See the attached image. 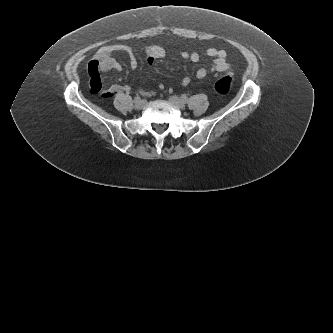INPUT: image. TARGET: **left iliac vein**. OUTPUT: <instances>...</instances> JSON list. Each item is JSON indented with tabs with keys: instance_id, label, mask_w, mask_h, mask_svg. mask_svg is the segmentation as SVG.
<instances>
[{
	"instance_id": "left-iliac-vein-1",
	"label": "left iliac vein",
	"mask_w": 333,
	"mask_h": 333,
	"mask_svg": "<svg viewBox=\"0 0 333 333\" xmlns=\"http://www.w3.org/2000/svg\"><path fill=\"white\" fill-rule=\"evenodd\" d=\"M169 102L176 106L179 109H184L185 108V103L182 99H180L177 96H170L169 97Z\"/></svg>"
}]
</instances>
